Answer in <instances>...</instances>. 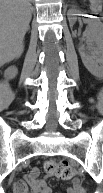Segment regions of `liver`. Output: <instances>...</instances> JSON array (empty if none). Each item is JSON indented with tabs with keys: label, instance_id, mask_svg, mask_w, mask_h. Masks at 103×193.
Instances as JSON below:
<instances>
[{
	"label": "liver",
	"instance_id": "liver-1",
	"mask_svg": "<svg viewBox=\"0 0 103 193\" xmlns=\"http://www.w3.org/2000/svg\"><path fill=\"white\" fill-rule=\"evenodd\" d=\"M0 8V63L4 65L22 55L32 9L28 0H1Z\"/></svg>",
	"mask_w": 103,
	"mask_h": 193
}]
</instances>
